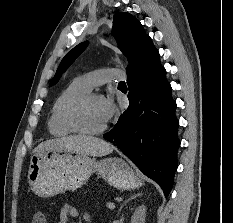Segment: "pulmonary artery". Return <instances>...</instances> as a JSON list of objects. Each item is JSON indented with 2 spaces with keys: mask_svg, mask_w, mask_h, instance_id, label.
Returning a JSON list of instances; mask_svg holds the SVG:
<instances>
[{
  "mask_svg": "<svg viewBox=\"0 0 233 223\" xmlns=\"http://www.w3.org/2000/svg\"><path fill=\"white\" fill-rule=\"evenodd\" d=\"M124 75H126V70L100 69L83 74L77 80L88 92H91L95 87L108 81L123 79Z\"/></svg>",
  "mask_w": 233,
  "mask_h": 223,
  "instance_id": "obj_1",
  "label": "pulmonary artery"
}]
</instances>
